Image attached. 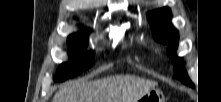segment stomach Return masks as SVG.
Listing matches in <instances>:
<instances>
[{
	"instance_id": "0dacf381",
	"label": "stomach",
	"mask_w": 221,
	"mask_h": 102,
	"mask_svg": "<svg viewBox=\"0 0 221 102\" xmlns=\"http://www.w3.org/2000/svg\"><path fill=\"white\" fill-rule=\"evenodd\" d=\"M137 102H165V98L160 90L152 89L140 97Z\"/></svg>"
}]
</instances>
